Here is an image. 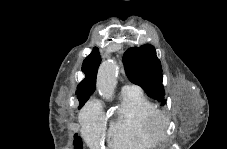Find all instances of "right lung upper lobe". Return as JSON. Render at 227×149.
<instances>
[{
	"mask_svg": "<svg viewBox=\"0 0 227 149\" xmlns=\"http://www.w3.org/2000/svg\"><path fill=\"white\" fill-rule=\"evenodd\" d=\"M100 62L101 57L99 54V49L94 47L91 54L86 57L82 64V71L86 77L79 83L76 91L80 101V106L84 105L89 99L90 95L95 91L96 76Z\"/></svg>",
	"mask_w": 227,
	"mask_h": 149,
	"instance_id": "right-lung-upper-lobe-1",
	"label": "right lung upper lobe"
}]
</instances>
